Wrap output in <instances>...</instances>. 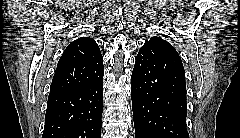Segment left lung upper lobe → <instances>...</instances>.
<instances>
[{
  "label": "left lung upper lobe",
  "instance_id": "obj_1",
  "mask_svg": "<svg viewBox=\"0 0 240 138\" xmlns=\"http://www.w3.org/2000/svg\"><path fill=\"white\" fill-rule=\"evenodd\" d=\"M156 50L167 51V52H170L171 54L179 56V54L171 46L170 43H168L166 40H163L161 37H157V36L147 40L145 44L142 46V48L140 49L138 54L154 52Z\"/></svg>",
  "mask_w": 240,
  "mask_h": 138
}]
</instances>
